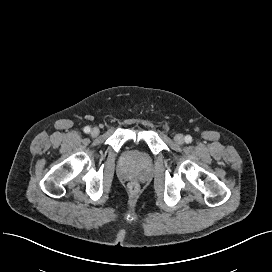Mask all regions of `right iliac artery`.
Wrapping results in <instances>:
<instances>
[{
	"mask_svg": "<svg viewBox=\"0 0 272 272\" xmlns=\"http://www.w3.org/2000/svg\"><path fill=\"white\" fill-rule=\"evenodd\" d=\"M84 132H85V133H89V132H90V127H89V126H86V127L84 128Z\"/></svg>",
	"mask_w": 272,
	"mask_h": 272,
	"instance_id": "1",
	"label": "right iliac artery"
}]
</instances>
